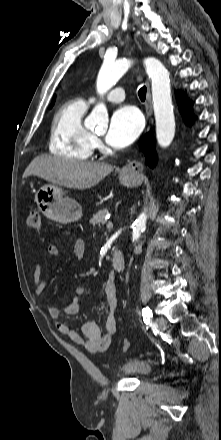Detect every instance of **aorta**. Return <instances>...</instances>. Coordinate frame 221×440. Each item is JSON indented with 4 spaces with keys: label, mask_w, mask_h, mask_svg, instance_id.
<instances>
[{
    "label": "aorta",
    "mask_w": 221,
    "mask_h": 440,
    "mask_svg": "<svg viewBox=\"0 0 221 440\" xmlns=\"http://www.w3.org/2000/svg\"><path fill=\"white\" fill-rule=\"evenodd\" d=\"M131 60L120 59L112 63L105 62L100 69L97 78V91L106 93L126 73L131 66ZM146 72L152 82V99L156 121V138L162 147H167L173 141L175 135V118L173 112L170 78L167 69L156 58L148 57L143 61ZM108 112L106 106L100 103L94 107L86 119L90 126H106ZM147 215L141 213L133 226L132 239H139L141 232L146 228Z\"/></svg>",
    "instance_id": "obj_1"
}]
</instances>
